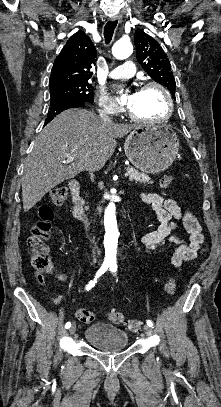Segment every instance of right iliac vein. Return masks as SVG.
<instances>
[{
	"label": "right iliac vein",
	"instance_id": "63e3f726",
	"mask_svg": "<svg viewBox=\"0 0 221 407\" xmlns=\"http://www.w3.org/2000/svg\"><path fill=\"white\" fill-rule=\"evenodd\" d=\"M75 331H76V325L73 324V325L70 327V329H69V334H70V335H74V334H75Z\"/></svg>",
	"mask_w": 221,
	"mask_h": 407
}]
</instances>
